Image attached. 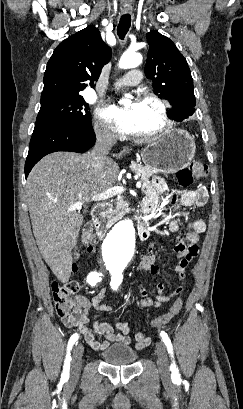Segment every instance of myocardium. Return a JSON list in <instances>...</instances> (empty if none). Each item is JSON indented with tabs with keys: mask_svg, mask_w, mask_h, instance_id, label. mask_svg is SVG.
<instances>
[{
	"mask_svg": "<svg viewBox=\"0 0 243 409\" xmlns=\"http://www.w3.org/2000/svg\"><path fill=\"white\" fill-rule=\"evenodd\" d=\"M137 101L139 102L150 101V102L155 103L159 107L162 124L158 129L154 131L142 133V134H133V137L136 140L147 141V140L155 139L165 134L172 127V119L170 117L169 103L166 100H164L162 97H160L158 94L152 91H142L138 94Z\"/></svg>",
	"mask_w": 243,
	"mask_h": 409,
	"instance_id": "obj_1",
	"label": "myocardium"
}]
</instances>
